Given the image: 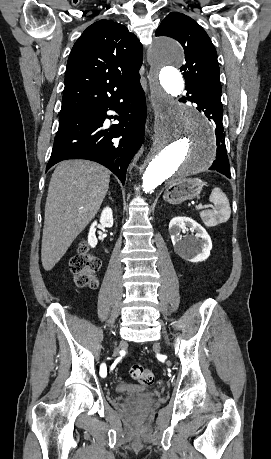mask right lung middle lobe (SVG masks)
Segmentation results:
<instances>
[{"label": "right lung middle lobe", "mask_w": 271, "mask_h": 459, "mask_svg": "<svg viewBox=\"0 0 271 459\" xmlns=\"http://www.w3.org/2000/svg\"><path fill=\"white\" fill-rule=\"evenodd\" d=\"M92 111H95V107H87L83 110L76 111V112H60L59 120L61 121V120H64V119H67V118H70V117H73V116H76L82 113L92 112Z\"/></svg>", "instance_id": "dd1d6c3e"}]
</instances>
